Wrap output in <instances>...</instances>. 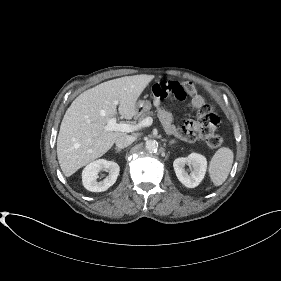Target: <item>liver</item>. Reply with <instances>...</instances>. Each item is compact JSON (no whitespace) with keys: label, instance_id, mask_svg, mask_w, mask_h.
I'll return each mask as SVG.
<instances>
[{"label":"liver","instance_id":"obj_1","mask_svg":"<svg viewBox=\"0 0 281 281\" xmlns=\"http://www.w3.org/2000/svg\"><path fill=\"white\" fill-rule=\"evenodd\" d=\"M152 75L125 76L103 82L81 93L67 109L57 137V157L63 174L78 169L104 155L116 139L126 133L105 131L109 119L119 114L125 119L137 115L136 101Z\"/></svg>","mask_w":281,"mask_h":281}]
</instances>
